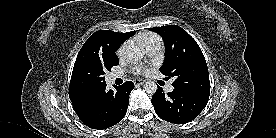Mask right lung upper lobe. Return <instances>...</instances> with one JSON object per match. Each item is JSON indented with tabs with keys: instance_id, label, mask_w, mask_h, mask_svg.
Segmentation results:
<instances>
[{
	"instance_id": "obj_1",
	"label": "right lung upper lobe",
	"mask_w": 276,
	"mask_h": 138,
	"mask_svg": "<svg viewBox=\"0 0 276 138\" xmlns=\"http://www.w3.org/2000/svg\"><path fill=\"white\" fill-rule=\"evenodd\" d=\"M134 33L135 31L118 33L110 30H99L84 43L78 53L76 62L92 55L103 56L106 53H115L120 45ZM90 93L91 90H83L76 87L71 78L69 96L75 112L81 111L83 102L87 97H89Z\"/></svg>"
}]
</instances>
